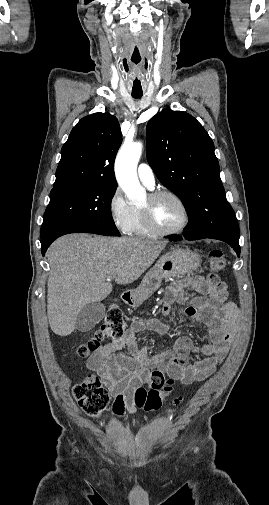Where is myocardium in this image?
<instances>
[{"label":"myocardium","instance_id":"obj_1","mask_svg":"<svg viewBox=\"0 0 269 505\" xmlns=\"http://www.w3.org/2000/svg\"><path fill=\"white\" fill-rule=\"evenodd\" d=\"M163 196H169V197L175 199L183 209L184 220H183L182 224L180 226H178L177 228L165 230V229L158 227L156 225V223L154 222V219L152 216L151 205L154 201H156L157 199H159ZM147 197H148V201H149L148 204L146 206H140L139 208L141 211L143 223H144L145 227L147 228V230L151 234H154L157 236L177 235V234L182 233L188 227V225L190 224V221H191V213H190L187 203L184 201V199L180 195H178L177 193H175L174 191H171V190L159 189V190H154V191L150 192L147 195Z\"/></svg>","mask_w":269,"mask_h":505}]
</instances>
